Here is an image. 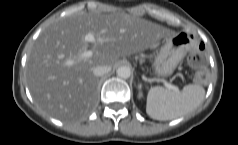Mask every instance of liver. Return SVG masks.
<instances>
[{
    "label": "liver",
    "instance_id": "6515ba94",
    "mask_svg": "<svg viewBox=\"0 0 238 145\" xmlns=\"http://www.w3.org/2000/svg\"><path fill=\"white\" fill-rule=\"evenodd\" d=\"M89 33L95 42L85 41ZM168 35L162 26L126 13L80 11L59 18L41 32L28 56L26 77L32 98L56 119L81 118L97 101L95 67L112 68L120 57L147 50ZM88 48L93 55L82 58Z\"/></svg>",
    "mask_w": 238,
    "mask_h": 145
}]
</instances>
